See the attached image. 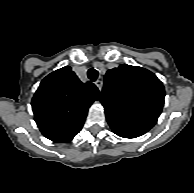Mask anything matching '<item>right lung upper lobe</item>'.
Segmentation results:
<instances>
[{
	"instance_id": "cb5924a9",
	"label": "right lung upper lobe",
	"mask_w": 194,
	"mask_h": 193,
	"mask_svg": "<svg viewBox=\"0 0 194 193\" xmlns=\"http://www.w3.org/2000/svg\"><path fill=\"white\" fill-rule=\"evenodd\" d=\"M100 96L93 83H82L65 66L40 83L31 102L35 121L45 137L60 142L81 130L89 107Z\"/></svg>"
}]
</instances>
